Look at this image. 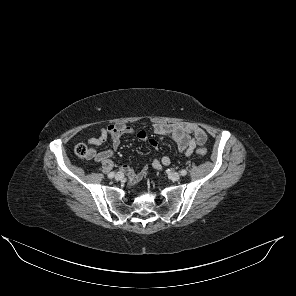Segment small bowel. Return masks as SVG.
<instances>
[{
	"label": "small bowel",
	"mask_w": 296,
	"mask_h": 296,
	"mask_svg": "<svg viewBox=\"0 0 296 296\" xmlns=\"http://www.w3.org/2000/svg\"><path fill=\"white\" fill-rule=\"evenodd\" d=\"M153 132L157 135L170 137L178 151L184 153L186 156L191 155L197 146H202L206 142V133L204 130L195 124L187 122L156 123L153 125ZM124 135H136L140 140L149 142L154 148L158 147V142L150 139L147 131H137L133 126L126 123L112 124L104 127L100 130L99 136L91 137L87 142L92 146H99L109 138L112 142L113 151H117L120 147V139ZM113 151L106 150L99 153L93 151L90 159L106 161L113 155ZM170 163V157L163 156L161 159H154L152 166L156 170H162L164 166H168ZM121 170L127 175L130 183L138 182L145 173V170L140 172L135 171L130 165H123Z\"/></svg>",
	"instance_id": "c3829d8e"
}]
</instances>
